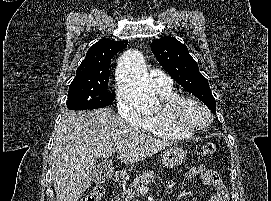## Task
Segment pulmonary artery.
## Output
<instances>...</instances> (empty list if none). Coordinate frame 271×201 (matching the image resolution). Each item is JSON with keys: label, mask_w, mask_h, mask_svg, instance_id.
Masks as SVG:
<instances>
[{"label": "pulmonary artery", "mask_w": 271, "mask_h": 201, "mask_svg": "<svg viewBox=\"0 0 271 201\" xmlns=\"http://www.w3.org/2000/svg\"><path fill=\"white\" fill-rule=\"evenodd\" d=\"M150 83L155 88H166L172 85L171 78L160 70H152L149 74Z\"/></svg>", "instance_id": "pulmonary-artery-1"}]
</instances>
